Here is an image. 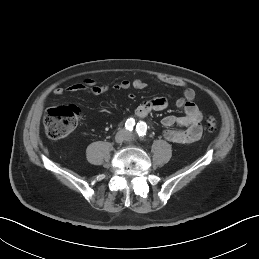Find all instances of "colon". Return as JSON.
<instances>
[{
  "instance_id": "5ec220e1",
  "label": "colon",
  "mask_w": 259,
  "mask_h": 259,
  "mask_svg": "<svg viewBox=\"0 0 259 259\" xmlns=\"http://www.w3.org/2000/svg\"><path fill=\"white\" fill-rule=\"evenodd\" d=\"M80 117V109L75 105L62 104L48 110L44 117L46 134L51 139H61L67 136L77 125ZM206 129L215 132L218 122L208 116L205 120Z\"/></svg>"
}]
</instances>
